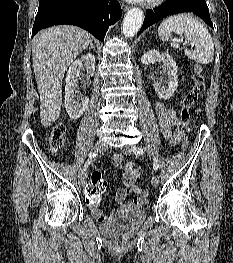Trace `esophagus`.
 I'll return each mask as SVG.
<instances>
[{
    "label": "esophagus",
    "instance_id": "1",
    "mask_svg": "<svg viewBox=\"0 0 233 263\" xmlns=\"http://www.w3.org/2000/svg\"><path fill=\"white\" fill-rule=\"evenodd\" d=\"M121 7L123 11H127L129 9V7L126 4H122Z\"/></svg>",
    "mask_w": 233,
    "mask_h": 263
}]
</instances>
